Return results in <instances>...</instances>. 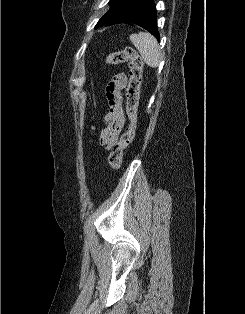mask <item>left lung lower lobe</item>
Segmentation results:
<instances>
[{"label": "left lung lower lobe", "instance_id": "0a47b994", "mask_svg": "<svg viewBox=\"0 0 245 314\" xmlns=\"http://www.w3.org/2000/svg\"><path fill=\"white\" fill-rule=\"evenodd\" d=\"M128 23H134L153 34L157 40L160 39L157 30L156 6L153 0H147L142 9Z\"/></svg>", "mask_w": 245, "mask_h": 314}]
</instances>
